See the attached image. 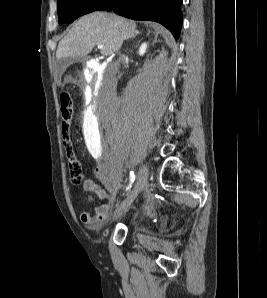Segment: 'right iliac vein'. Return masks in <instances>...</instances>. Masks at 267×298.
I'll use <instances>...</instances> for the list:
<instances>
[{"instance_id":"63e3f726","label":"right iliac vein","mask_w":267,"mask_h":298,"mask_svg":"<svg viewBox=\"0 0 267 298\" xmlns=\"http://www.w3.org/2000/svg\"><path fill=\"white\" fill-rule=\"evenodd\" d=\"M148 183V168L143 164L137 175V183L135 187L130 191L127 197L121 202V204L116 208L113 220L119 218L127 209L131 206L133 201L136 199L138 194L147 186Z\"/></svg>"}]
</instances>
